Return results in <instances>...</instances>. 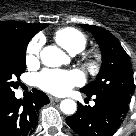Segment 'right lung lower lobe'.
<instances>
[{
	"label": "right lung lower lobe",
	"instance_id": "obj_1",
	"mask_svg": "<svg viewBox=\"0 0 136 136\" xmlns=\"http://www.w3.org/2000/svg\"><path fill=\"white\" fill-rule=\"evenodd\" d=\"M49 103L48 96L38 90L28 99L15 97V93L0 95V136H27L38 123L39 109Z\"/></svg>",
	"mask_w": 136,
	"mask_h": 136
}]
</instances>
